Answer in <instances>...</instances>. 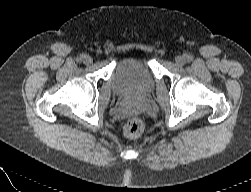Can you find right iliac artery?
I'll return each instance as SVG.
<instances>
[{
	"instance_id": "right-iliac-artery-1",
	"label": "right iliac artery",
	"mask_w": 251,
	"mask_h": 192,
	"mask_svg": "<svg viewBox=\"0 0 251 192\" xmlns=\"http://www.w3.org/2000/svg\"><path fill=\"white\" fill-rule=\"evenodd\" d=\"M83 58H85V55H84V54H82V55L77 59V61L80 62V61H82Z\"/></svg>"
}]
</instances>
